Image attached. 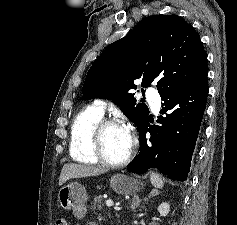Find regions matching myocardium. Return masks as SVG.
I'll return each mask as SVG.
<instances>
[{"label":"myocardium","instance_id":"obj_1","mask_svg":"<svg viewBox=\"0 0 237 225\" xmlns=\"http://www.w3.org/2000/svg\"><path fill=\"white\" fill-rule=\"evenodd\" d=\"M113 126L125 128L129 132L131 137V147L128 154L124 159L117 162L109 160L103 150V134L107 128ZM91 145L93 153L99 162L108 167L119 168L127 165L131 161L136 148V138L131 129L125 123L113 118H102L92 128Z\"/></svg>","mask_w":237,"mask_h":225}]
</instances>
